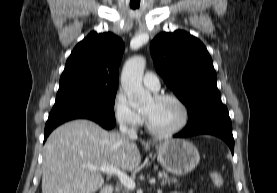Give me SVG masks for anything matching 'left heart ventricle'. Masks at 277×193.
Returning <instances> with one entry per match:
<instances>
[{"mask_svg": "<svg viewBox=\"0 0 277 193\" xmlns=\"http://www.w3.org/2000/svg\"><path fill=\"white\" fill-rule=\"evenodd\" d=\"M152 125L159 130H171L182 121V110L173 100L157 101L153 97L143 106Z\"/></svg>", "mask_w": 277, "mask_h": 193, "instance_id": "left-heart-ventricle-1", "label": "left heart ventricle"}]
</instances>
